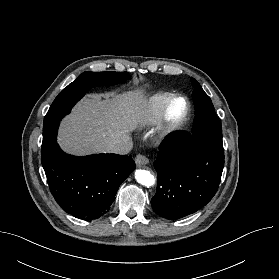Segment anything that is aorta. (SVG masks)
I'll return each instance as SVG.
<instances>
[{
	"label": "aorta",
	"mask_w": 279,
	"mask_h": 279,
	"mask_svg": "<svg viewBox=\"0 0 279 279\" xmlns=\"http://www.w3.org/2000/svg\"><path fill=\"white\" fill-rule=\"evenodd\" d=\"M135 178L143 186L150 187L155 183V177L147 170H136Z\"/></svg>",
	"instance_id": "762f6f07"
}]
</instances>
